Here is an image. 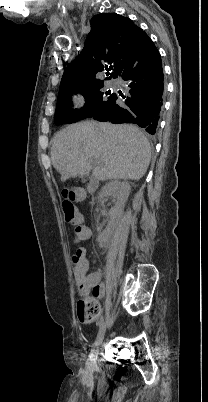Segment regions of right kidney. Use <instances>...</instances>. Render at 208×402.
Masks as SVG:
<instances>
[{
	"label": "right kidney",
	"instance_id": "ca27d5eb",
	"mask_svg": "<svg viewBox=\"0 0 208 402\" xmlns=\"http://www.w3.org/2000/svg\"><path fill=\"white\" fill-rule=\"evenodd\" d=\"M130 186L128 182H119V180H114V182H108L103 186L99 200L102 198H106V196H112V198H116L114 208L109 210L110 216L113 218H120L124 212L125 204L129 198L130 194ZM111 230H105L101 236L98 238V242H105V240H109L111 238Z\"/></svg>",
	"mask_w": 208,
	"mask_h": 402
}]
</instances>
